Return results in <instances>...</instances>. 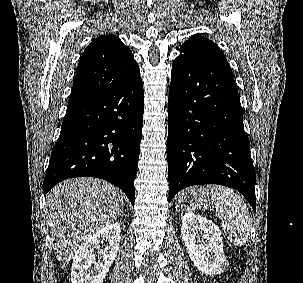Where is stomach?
<instances>
[{
  "mask_svg": "<svg viewBox=\"0 0 303 283\" xmlns=\"http://www.w3.org/2000/svg\"><path fill=\"white\" fill-rule=\"evenodd\" d=\"M209 191L202 187H191L182 191L175 202V208L179 211L197 210L206 207L209 201Z\"/></svg>",
  "mask_w": 303,
  "mask_h": 283,
  "instance_id": "0dacf381",
  "label": "stomach"
}]
</instances>
